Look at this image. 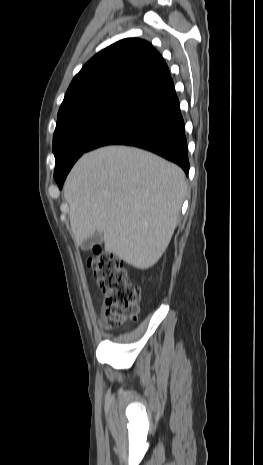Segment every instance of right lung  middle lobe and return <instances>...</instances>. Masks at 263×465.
Listing matches in <instances>:
<instances>
[{"mask_svg": "<svg viewBox=\"0 0 263 465\" xmlns=\"http://www.w3.org/2000/svg\"><path fill=\"white\" fill-rule=\"evenodd\" d=\"M136 98L108 96L79 104L58 115L53 136L56 166L54 178L60 180L73 164L134 103Z\"/></svg>", "mask_w": 263, "mask_h": 465, "instance_id": "right-lung-middle-lobe-1", "label": "right lung middle lobe"}]
</instances>
